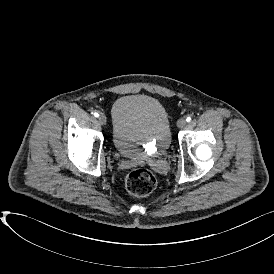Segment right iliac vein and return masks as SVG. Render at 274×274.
Returning a JSON list of instances; mask_svg holds the SVG:
<instances>
[{
  "label": "right iliac vein",
  "mask_w": 274,
  "mask_h": 274,
  "mask_svg": "<svg viewBox=\"0 0 274 274\" xmlns=\"http://www.w3.org/2000/svg\"><path fill=\"white\" fill-rule=\"evenodd\" d=\"M98 121L100 122V124L102 125H105L106 124V121H107V118L104 114H101L99 117H98Z\"/></svg>",
  "instance_id": "63e3f726"
}]
</instances>
